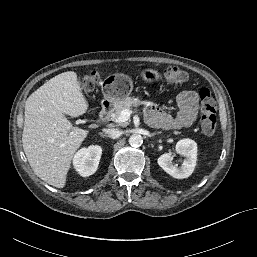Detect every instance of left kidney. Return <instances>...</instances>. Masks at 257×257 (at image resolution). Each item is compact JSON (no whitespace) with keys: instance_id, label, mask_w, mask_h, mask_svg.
Instances as JSON below:
<instances>
[{"instance_id":"5707ae66","label":"left kidney","mask_w":257,"mask_h":257,"mask_svg":"<svg viewBox=\"0 0 257 257\" xmlns=\"http://www.w3.org/2000/svg\"><path fill=\"white\" fill-rule=\"evenodd\" d=\"M175 151L184 157L181 166L172 162V152L161 155L158 158V165L169 175L177 179L189 177L196 166L197 144L191 139H182L177 142Z\"/></svg>"}]
</instances>
